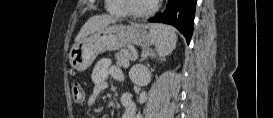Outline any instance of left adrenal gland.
I'll return each instance as SVG.
<instances>
[{
  "mask_svg": "<svg viewBox=\"0 0 273 118\" xmlns=\"http://www.w3.org/2000/svg\"><path fill=\"white\" fill-rule=\"evenodd\" d=\"M148 57H156V54L152 50L145 48L142 50L140 61L142 62L146 60Z\"/></svg>",
  "mask_w": 273,
  "mask_h": 118,
  "instance_id": "a2214340",
  "label": "left adrenal gland"
}]
</instances>
